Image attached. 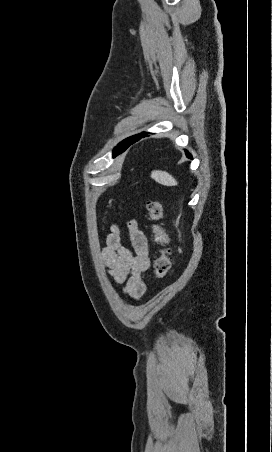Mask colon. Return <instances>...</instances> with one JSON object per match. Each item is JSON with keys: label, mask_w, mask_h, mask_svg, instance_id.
Returning a JSON list of instances; mask_svg holds the SVG:
<instances>
[{"label": "colon", "mask_w": 272, "mask_h": 452, "mask_svg": "<svg viewBox=\"0 0 272 452\" xmlns=\"http://www.w3.org/2000/svg\"><path fill=\"white\" fill-rule=\"evenodd\" d=\"M147 210L150 219L153 221V235L155 242L160 246L155 259L154 270L158 280L166 277L171 267V250L168 247L169 237L160 221L163 218V207L159 201H149Z\"/></svg>", "instance_id": "5ec220e1"}]
</instances>
